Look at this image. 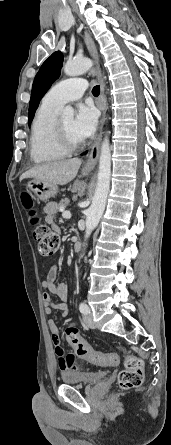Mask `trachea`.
Masks as SVG:
<instances>
[{"label":"trachea","instance_id":"1","mask_svg":"<svg viewBox=\"0 0 171 445\" xmlns=\"http://www.w3.org/2000/svg\"><path fill=\"white\" fill-rule=\"evenodd\" d=\"M92 94L96 97L99 96V94H100V86L99 85H96L95 87H93Z\"/></svg>","mask_w":171,"mask_h":445}]
</instances>
